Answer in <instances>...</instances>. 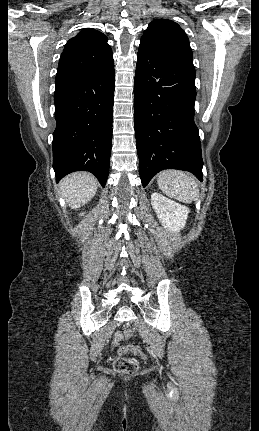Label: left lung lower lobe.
Listing matches in <instances>:
<instances>
[{
    "label": "left lung lower lobe",
    "mask_w": 259,
    "mask_h": 431,
    "mask_svg": "<svg viewBox=\"0 0 259 431\" xmlns=\"http://www.w3.org/2000/svg\"><path fill=\"white\" fill-rule=\"evenodd\" d=\"M137 58L134 122L143 187L164 169L189 171L202 181L195 68L144 43Z\"/></svg>",
    "instance_id": "obj_1"
}]
</instances>
